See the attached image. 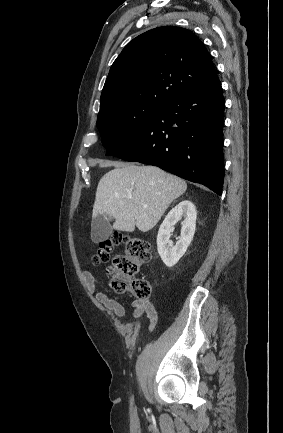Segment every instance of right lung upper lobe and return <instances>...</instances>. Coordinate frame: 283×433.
Instances as JSON below:
<instances>
[{
	"instance_id": "1",
	"label": "right lung upper lobe",
	"mask_w": 283,
	"mask_h": 433,
	"mask_svg": "<svg viewBox=\"0 0 283 433\" xmlns=\"http://www.w3.org/2000/svg\"><path fill=\"white\" fill-rule=\"evenodd\" d=\"M217 78L209 52L195 34L176 26L158 27L134 38L114 61L100 112L133 103L166 105Z\"/></svg>"
}]
</instances>
